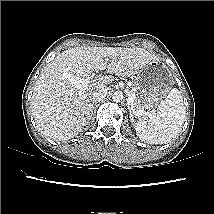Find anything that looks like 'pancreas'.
I'll use <instances>...</instances> for the list:
<instances>
[{
    "mask_svg": "<svg viewBox=\"0 0 214 214\" xmlns=\"http://www.w3.org/2000/svg\"><path fill=\"white\" fill-rule=\"evenodd\" d=\"M131 96L135 99V91L134 89L131 90ZM130 108L133 112H136L138 110H142L141 107H139L138 105L135 104V102L133 103V105H130Z\"/></svg>",
    "mask_w": 214,
    "mask_h": 214,
    "instance_id": "obj_1",
    "label": "pancreas"
}]
</instances>
